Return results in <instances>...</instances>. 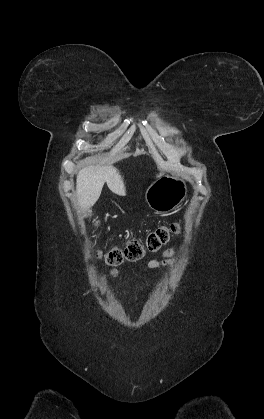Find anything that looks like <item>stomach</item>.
Wrapping results in <instances>:
<instances>
[{"instance_id":"1","label":"stomach","mask_w":264,"mask_h":419,"mask_svg":"<svg viewBox=\"0 0 264 419\" xmlns=\"http://www.w3.org/2000/svg\"><path fill=\"white\" fill-rule=\"evenodd\" d=\"M186 195L187 185L182 178L161 176L149 186L145 200L157 213H168L178 208Z\"/></svg>"}]
</instances>
